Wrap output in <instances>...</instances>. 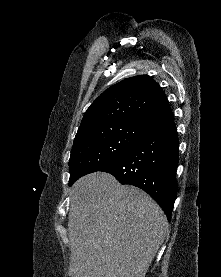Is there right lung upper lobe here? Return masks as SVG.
Segmentation results:
<instances>
[{
  "instance_id": "obj_1",
  "label": "right lung upper lobe",
  "mask_w": 221,
  "mask_h": 277,
  "mask_svg": "<svg viewBox=\"0 0 221 277\" xmlns=\"http://www.w3.org/2000/svg\"><path fill=\"white\" fill-rule=\"evenodd\" d=\"M167 103L165 93L150 76L124 79L92 103L78 133L100 125L139 122L142 116Z\"/></svg>"
}]
</instances>
